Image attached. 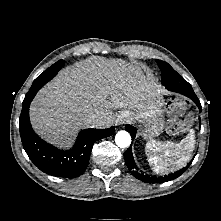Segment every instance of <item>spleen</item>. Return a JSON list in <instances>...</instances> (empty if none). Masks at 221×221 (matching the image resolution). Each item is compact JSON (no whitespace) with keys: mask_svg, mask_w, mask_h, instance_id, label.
<instances>
[{"mask_svg":"<svg viewBox=\"0 0 221 221\" xmlns=\"http://www.w3.org/2000/svg\"><path fill=\"white\" fill-rule=\"evenodd\" d=\"M195 147L194 130L178 143L149 140L145 146L148 162L156 173L175 171L191 159Z\"/></svg>","mask_w":221,"mask_h":221,"instance_id":"1","label":"spleen"}]
</instances>
